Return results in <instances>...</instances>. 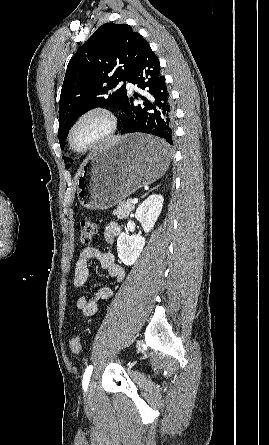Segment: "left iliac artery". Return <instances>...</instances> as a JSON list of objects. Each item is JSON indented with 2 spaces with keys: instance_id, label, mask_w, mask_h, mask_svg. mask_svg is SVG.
Here are the masks:
<instances>
[{
  "instance_id": "left-iliac-artery-1",
  "label": "left iliac artery",
  "mask_w": 269,
  "mask_h": 445,
  "mask_svg": "<svg viewBox=\"0 0 269 445\" xmlns=\"http://www.w3.org/2000/svg\"><path fill=\"white\" fill-rule=\"evenodd\" d=\"M92 370H93V366L90 365V366H88L86 368V370L84 372L83 380H82V386H83L84 391L87 390V387H88V384H89V381H90V377H91V374H92Z\"/></svg>"
}]
</instances>
